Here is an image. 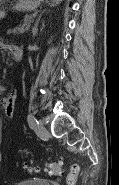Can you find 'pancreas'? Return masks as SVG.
Returning <instances> with one entry per match:
<instances>
[{
  "label": "pancreas",
  "instance_id": "cf45deb5",
  "mask_svg": "<svg viewBox=\"0 0 119 185\" xmlns=\"http://www.w3.org/2000/svg\"><path fill=\"white\" fill-rule=\"evenodd\" d=\"M32 21V16H27L25 18L24 24L18 28L12 30L13 33H24L30 28V23Z\"/></svg>",
  "mask_w": 119,
  "mask_h": 185
}]
</instances>
